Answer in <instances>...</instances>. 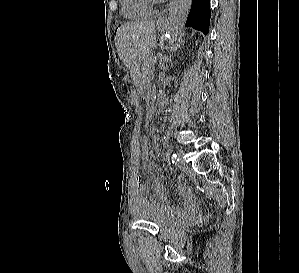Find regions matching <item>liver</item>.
Wrapping results in <instances>:
<instances>
[{
    "label": "liver",
    "instance_id": "obj_1",
    "mask_svg": "<svg viewBox=\"0 0 299 273\" xmlns=\"http://www.w3.org/2000/svg\"><path fill=\"white\" fill-rule=\"evenodd\" d=\"M155 28L156 21H142L124 23L117 30L116 49L133 79L138 76L141 63L155 44Z\"/></svg>",
    "mask_w": 299,
    "mask_h": 273
}]
</instances>
